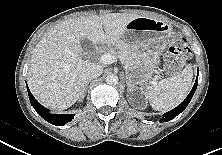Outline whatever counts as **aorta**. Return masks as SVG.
<instances>
[{
    "instance_id": "aorta-1",
    "label": "aorta",
    "mask_w": 222,
    "mask_h": 155,
    "mask_svg": "<svg viewBox=\"0 0 222 155\" xmlns=\"http://www.w3.org/2000/svg\"><path fill=\"white\" fill-rule=\"evenodd\" d=\"M106 82L110 85H115L118 83V76L115 75V74H109L107 77H106Z\"/></svg>"
}]
</instances>
